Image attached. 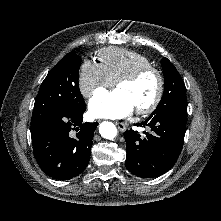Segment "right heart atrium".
I'll list each match as a JSON object with an SVG mask.
<instances>
[{"label": "right heart atrium", "mask_w": 221, "mask_h": 221, "mask_svg": "<svg viewBox=\"0 0 221 221\" xmlns=\"http://www.w3.org/2000/svg\"><path fill=\"white\" fill-rule=\"evenodd\" d=\"M115 81L105 72L99 63L86 60L78 73V89L85 98L113 86Z\"/></svg>", "instance_id": "1"}]
</instances>
